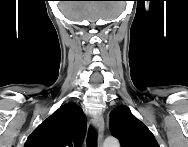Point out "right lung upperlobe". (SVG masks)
Masks as SVG:
<instances>
[{
  "instance_id": "1",
  "label": "right lung upper lobe",
  "mask_w": 188,
  "mask_h": 147,
  "mask_svg": "<svg viewBox=\"0 0 188 147\" xmlns=\"http://www.w3.org/2000/svg\"><path fill=\"white\" fill-rule=\"evenodd\" d=\"M86 116L76 104H65L29 135L24 147H80Z\"/></svg>"
}]
</instances>
